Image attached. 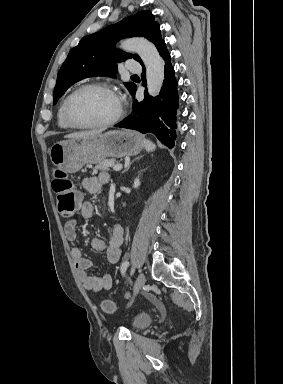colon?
I'll return each mask as SVG.
<instances>
[{
	"label": "colon",
	"instance_id": "5ec220e1",
	"mask_svg": "<svg viewBox=\"0 0 283 384\" xmlns=\"http://www.w3.org/2000/svg\"><path fill=\"white\" fill-rule=\"evenodd\" d=\"M52 188L57 197L58 211L64 218L72 217L79 207L78 194L72 181L66 174L57 171L52 181ZM102 310L111 314L115 311V304L110 300H105L101 304Z\"/></svg>",
	"mask_w": 283,
	"mask_h": 384
}]
</instances>
